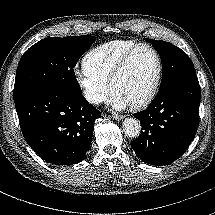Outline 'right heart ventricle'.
<instances>
[{"label": "right heart ventricle", "mask_w": 215, "mask_h": 215, "mask_svg": "<svg viewBox=\"0 0 215 215\" xmlns=\"http://www.w3.org/2000/svg\"><path fill=\"white\" fill-rule=\"evenodd\" d=\"M137 44L134 40H112L91 49L83 58V70L101 81L108 83L119 59L132 46Z\"/></svg>", "instance_id": "1"}]
</instances>
